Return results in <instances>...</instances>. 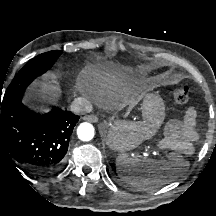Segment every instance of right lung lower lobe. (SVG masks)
Here are the masks:
<instances>
[{
    "label": "right lung lower lobe",
    "instance_id": "obj_1",
    "mask_svg": "<svg viewBox=\"0 0 216 216\" xmlns=\"http://www.w3.org/2000/svg\"><path fill=\"white\" fill-rule=\"evenodd\" d=\"M23 94L2 101L0 157L19 163L34 176L52 175L64 163L79 116L58 107L37 115L22 104Z\"/></svg>",
    "mask_w": 216,
    "mask_h": 216
}]
</instances>
